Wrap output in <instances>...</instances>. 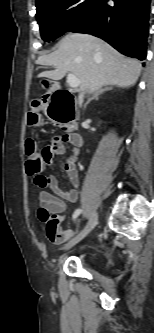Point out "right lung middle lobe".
<instances>
[{
  "label": "right lung middle lobe",
  "mask_w": 154,
  "mask_h": 333,
  "mask_svg": "<svg viewBox=\"0 0 154 333\" xmlns=\"http://www.w3.org/2000/svg\"><path fill=\"white\" fill-rule=\"evenodd\" d=\"M98 0H40L36 2L42 39L55 40L87 18ZM76 7L69 9L72 5ZM69 9V10H68Z\"/></svg>",
  "instance_id": "dd1d6c3e"
}]
</instances>
